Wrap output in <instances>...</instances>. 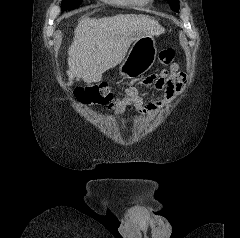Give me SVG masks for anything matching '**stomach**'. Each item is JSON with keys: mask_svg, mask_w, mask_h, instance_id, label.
Instances as JSON below:
<instances>
[{"mask_svg": "<svg viewBox=\"0 0 240 238\" xmlns=\"http://www.w3.org/2000/svg\"><path fill=\"white\" fill-rule=\"evenodd\" d=\"M156 56V40L153 35L145 34L133 42L119 73L125 78H137L152 67Z\"/></svg>", "mask_w": 240, "mask_h": 238, "instance_id": "obj_1", "label": "stomach"}]
</instances>
